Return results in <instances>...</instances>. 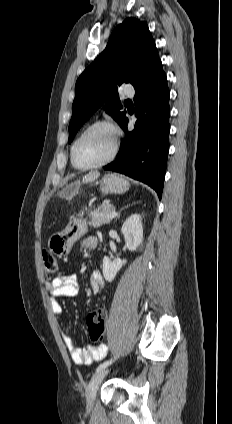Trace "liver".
<instances>
[{"label": "liver", "instance_id": "6515ba94", "mask_svg": "<svg viewBox=\"0 0 232 424\" xmlns=\"http://www.w3.org/2000/svg\"><path fill=\"white\" fill-rule=\"evenodd\" d=\"M100 176V173L98 171H93V172H89L85 177H84V182L85 183H89V182H93L96 179H98V177ZM76 188H68L65 191V195L71 199L72 196L75 194L76 192Z\"/></svg>", "mask_w": 232, "mask_h": 424}]
</instances>
